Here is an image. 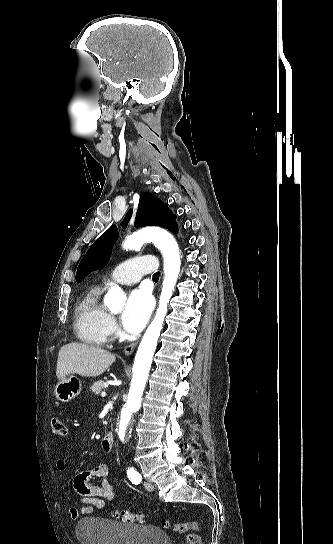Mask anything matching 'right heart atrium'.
Returning <instances> with one entry per match:
<instances>
[{
	"mask_svg": "<svg viewBox=\"0 0 333 544\" xmlns=\"http://www.w3.org/2000/svg\"><path fill=\"white\" fill-rule=\"evenodd\" d=\"M107 331L109 336H114L118 332V327L116 324V321L113 317H109L108 323H107Z\"/></svg>",
	"mask_w": 333,
	"mask_h": 544,
	"instance_id": "d8ad5b80",
	"label": "right heart atrium"
}]
</instances>
